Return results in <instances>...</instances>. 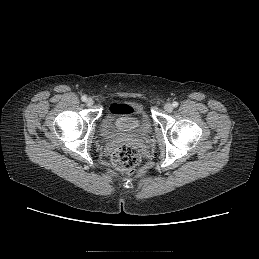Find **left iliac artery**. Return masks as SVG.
<instances>
[{"label": "left iliac artery", "instance_id": "44dca946", "mask_svg": "<svg viewBox=\"0 0 259 259\" xmlns=\"http://www.w3.org/2000/svg\"><path fill=\"white\" fill-rule=\"evenodd\" d=\"M174 107H177L178 106V102H173V104H172Z\"/></svg>", "mask_w": 259, "mask_h": 259}]
</instances>
